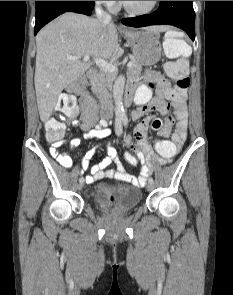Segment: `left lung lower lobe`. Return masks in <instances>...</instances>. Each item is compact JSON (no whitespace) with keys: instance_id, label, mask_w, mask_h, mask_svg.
I'll return each instance as SVG.
<instances>
[{"instance_id":"1","label":"left lung lower lobe","mask_w":233,"mask_h":295,"mask_svg":"<svg viewBox=\"0 0 233 295\" xmlns=\"http://www.w3.org/2000/svg\"><path fill=\"white\" fill-rule=\"evenodd\" d=\"M131 27L170 24L183 29L195 39V12L192 1H160L159 8L152 14L125 18L121 21Z\"/></svg>"}]
</instances>
